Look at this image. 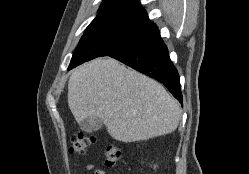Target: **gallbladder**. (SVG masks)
Masks as SVG:
<instances>
[{
  "instance_id": "1",
  "label": "gallbladder",
  "mask_w": 249,
  "mask_h": 174,
  "mask_svg": "<svg viewBox=\"0 0 249 174\" xmlns=\"http://www.w3.org/2000/svg\"><path fill=\"white\" fill-rule=\"evenodd\" d=\"M79 125L83 131L91 133V132H95L99 130L102 127L103 122L97 116H90V117L83 119L79 123Z\"/></svg>"
}]
</instances>
